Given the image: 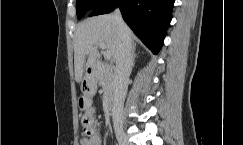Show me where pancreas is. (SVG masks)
Segmentation results:
<instances>
[{
    "label": "pancreas",
    "mask_w": 243,
    "mask_h": 145,
    "mask_svg": "<svg viewBox=\"0 0 243 145\" xmlns=\"http://www.w3.org/2000/svg\"><path fill=\"white\" fill-rule=\"evenodd\" d=\"M113 69L109 65H104L99 75V83L102 86L103 93L109 94L113 90Z\"/></svg>",
    "instance_id": "pancreas-1"
}]
</instances>
